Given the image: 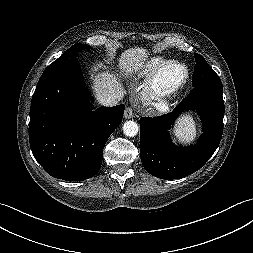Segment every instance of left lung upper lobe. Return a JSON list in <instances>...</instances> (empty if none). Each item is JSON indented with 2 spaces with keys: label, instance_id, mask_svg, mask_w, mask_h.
I'll list each match as a JSON object with an SVG mask.
<instances>
[{
  "label": "left lung upper lobe",
  "instance_id": "obj_1",
  "mask_svg": "<svg viewBox=\"0 0 253 253\" xmlns=\"http://www.w3.org/2000/svg\"><path fill=\"white\" fill-rule=\"evenodd\" d=\"M196 66L192 76V85L197 87L200 85H212L223 88L220 78L216 72L207 64L204 57L195 53Z\"/></svg>",
  "mask_w": 253,
  "mask_h": 253
}]
</instances>
